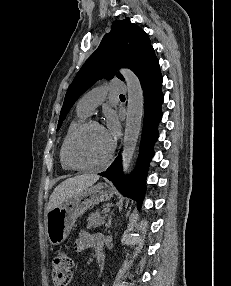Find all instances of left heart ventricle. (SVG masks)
<instances>
[{"label":"left heart ventricle","instance_id":"b2bd125f","mask_svg":"<svg viewBox=\"0 0 231 286\" xmlns=\"http://www.w3.org/2000/svg\"><path fill=\"white\" fill-rule=\"evenodd\" d=\"M112 139L101 127H90L84 131L73 146V155L77 161L92 163L103 159L110 150Z\"/></svg>","mask_w":231,"mask_h":286}]
</instances>
